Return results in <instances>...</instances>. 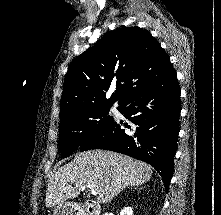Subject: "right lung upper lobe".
Instances as JSON below:
<instances>
[{"mask_svg": "<svg viewBox=\"0 0 221 215\" xmlns=\"http://www.w3.org/2000/svg\"><path fill=\"white\" fill-rule=\"evenodd\" d=\"M172 69L168 55L148 31L134 26L108 32L71 62L64 79L61 120L84 110L111 107L116 101L121 105Z\"/></svg>", "mask_w": 221, "mask_h": 215, "instance_id": "1", "label": "right lung upper lobe"}]
</instances>
